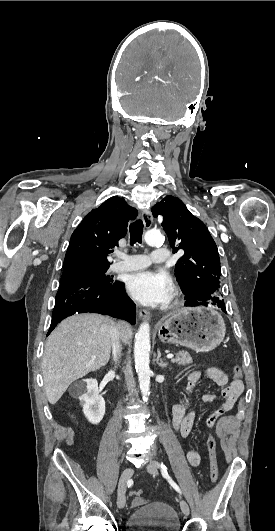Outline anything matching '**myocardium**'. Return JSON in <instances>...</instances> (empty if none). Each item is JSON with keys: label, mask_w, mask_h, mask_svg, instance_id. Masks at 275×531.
<instances>
[{"label": "myocardium", "mask_w": 275, "mask_h": 531, "mask_svg": "<svg viewBox=\"0 0 275 531\" xmlns=\"http://www.w3.org/2000/svg\"><path fill=\"white\" fill-rule=\"evenodd\" d=\"M179 292L176 289L171 290L169 302L174 305L178 301Z\"/></svg>", "instance_id": "1"}]
</instances>
